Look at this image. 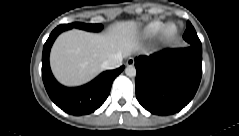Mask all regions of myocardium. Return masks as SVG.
I'll return each mask as SVG.
<instances>
[{
  "mask_svg": "<svg viewBox=\"0 0 239 136\" xmlns=\"http://www.w3.org/2000/svg\"><path fill=\"white\" fill-rule=\"evenodd\" d=\"M170 29H173V25H167L162 29L161 35H162L163 38L172 36L174 34V29H173L172 33H169Z\"/></svg>",
  "mask_w": 239,
  "mask_h": 136,
  "instance_id": "1",
  "label": "myocardium"
}]
</instances>
